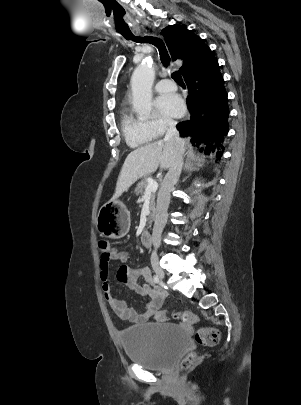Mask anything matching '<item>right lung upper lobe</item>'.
<instances>
[{"instance_id": "obj_1", "label": "right lung upper lobe", "mask_w": 301, "mask_h": 405, "mask_svg": "<svg viewBox=\"0 0 301 405\" xmlns=\"http://www.w3.org/2000/svg\"><path fill=\"white\" fill-rule=\"evenodd\" d=\"M173 60L182 59L180 72L187 73L199 69L215 59L204 41L183 25H170L161 31Z\"/></svg>"}]
</instances>
